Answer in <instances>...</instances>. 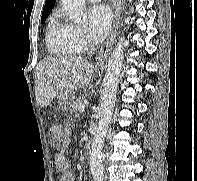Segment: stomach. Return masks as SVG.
<instances>
[{
	"label": "stomach",
	"mask_w": 197,
	"mask_h": 181,
	"mask_svg": "<svg viewBox=\"0 0 197 181\" xmlns=\"http://www.w3.org/2000/svg\"><path fill=\"white\" fill-rule=\"evenodd\" d=\"M75 99V94L71 90H65L57 95V102L62 109H68Z\"/></svg>",
	"instance_id": "obj_1"
}]
</instances>
